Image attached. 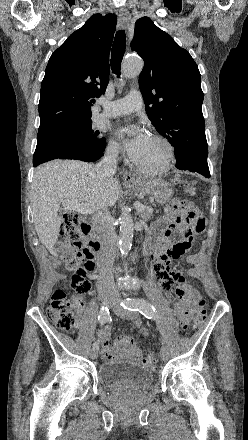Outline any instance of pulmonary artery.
Masks as SVG:
<instances>
[{"label": "pulmonary artery", "mask_w": 248, "mask_h": 440, "mask_svg": "<svg viewBox=\"0 0 248 440\" xmlns=\"http://www.w3.org/2000/svg\"><path fill=\"white\" fill-rule=\"evenodd\" d=\"M99 104L103 107V111L99 114L100 118L126 115L142 108V95L138 90H132L121 99L113 102L101 100Z\"/></svg>", "instance_id": "1"}]
</instances>
